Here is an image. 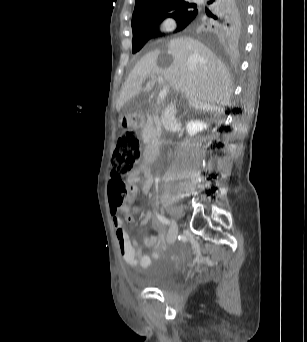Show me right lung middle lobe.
I'll use <instances>...</instances> for the list:
<instances>
[{
  "instance_id": "obj_1",
  "label": "right lung middle lobe",
  "mask_w": 307,
  "mask_h": 342,
  "mask_svg": "<svg viewBox=\"0 0 307 342\" xmlns=\"http://www.w3.org/2000/svg\"><path fill=\"white\" fill-rule=\"evenodd\" d=\"M157 34H155V32H145V33H140V34H136L133 35V41H132V45H133V53L138 52L145 44L146 42L155 37Z\"/></svg>"
}]
</instances>
